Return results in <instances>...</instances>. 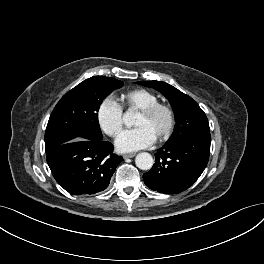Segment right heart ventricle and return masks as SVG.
<instances>
[{"label": "right heart ventricle", "instance_id": "1", "mask_svg": "<svg viewBox=\"0 0 264 264\" xmlns=\"http://www.w3.org/2000/svg\"><path fill=\"white\" fill-rule=\"evenodd\" d=\"M118 100L122 108L138 111L159 102L155 93L144 88L125 91L118 96Z\"/></svg>", "mask_w": 264, "mask_h": 264}]
</instances>
